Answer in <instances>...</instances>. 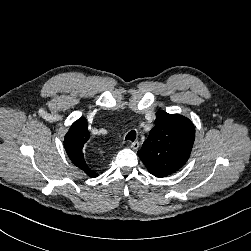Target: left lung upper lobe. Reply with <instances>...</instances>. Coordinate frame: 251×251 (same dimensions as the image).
Masks as SVG:
<instances>
[{
	"instance_id": "obj_1",
	"label": "left lung upper lobe",
	"mask_w": 251,
	"mask_h": 251,
	"mask_svg": "<svg viewBox=\"0 0 251 251\" xmlns=\"http://www.w3.org/2000/svg\"><path fill=\"white\" fill-rule=\"evenodd\" d=\"M155 127L138 155L153 175H170L188 160L195 139L193 123L180 114L156 113Z\"/></svg>"
}]
</instances>
